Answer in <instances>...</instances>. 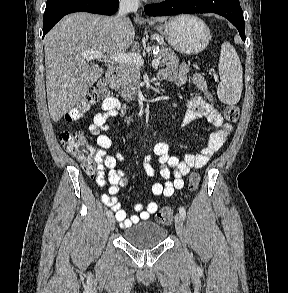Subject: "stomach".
<instances>
[{
	"mask_svg": "<svg viewBox=\"0 0 288 293\" xmlns=\"http://www.w3.org/2000/svg\"><path fill=\"white\" fill-rule=\"evenodd\" d=\"M157 30L178 52L194 55L202 52L211 39L208 26L193 15H179L157 26Z\"/></svg>",
	"mask_w": 288,
	"mask_h": 293,
	"instance_id": "obj_1",
	"label": "stomach"
}]
</instances>
